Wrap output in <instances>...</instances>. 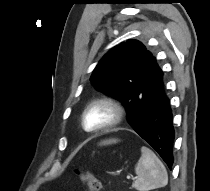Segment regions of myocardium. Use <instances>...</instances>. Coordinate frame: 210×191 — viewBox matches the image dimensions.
I'll list each match as a JSON object with an SVG mask.
<instances>
[{"instance_id": "1", "label": "myocardium", "mask_w": 210, "mask_h": 191, "mask_svg": "<svg viewBox=\"0 0 210 191\" xmlns=\"http://www.w3.org/2000/svg\"><path fill=\"white\" fill-rule=\"evenodd\" d=\"M97 105H105L109 107L113 112V118L109 123L105 124L104 126H101L96 129H87L85 126V115L90 108ZM125 116H126V110L124 105L120 101L110 96H103L96 98L93 101H91L89 104H87V106L83 109L81 113L80 123L82 129L85 132L90 134H98V133L107 132L109 130L118 127L124 121Z\"/></svg>"}]
</instances>
